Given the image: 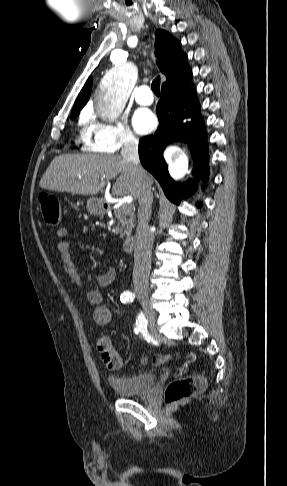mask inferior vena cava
Here are the masks:
<instances>
[{
	"instance_id": "obj_1",
	"label": "inferior vena cava",
	"mask_w": 287,
	"mask_h": 486,
	"mask_svg": "<svg viewBox=\"0 0 287 486\" xmlns=\"http://www.w3.org/2000/svg\"><path fill=\"white\" fill-rule=\"evenodd\" d=\"M138 140L132 135L125 137L121 150L123 159L130 162L135 169L136 177L140 183V195L138 198V224L135 234L133 283L136 290L148 289V277L151 268V254L153 235L149 229L153 194L151 184L148 182L147 173L141 167L138 154Z\"/></svg>"
}]
</instances>
